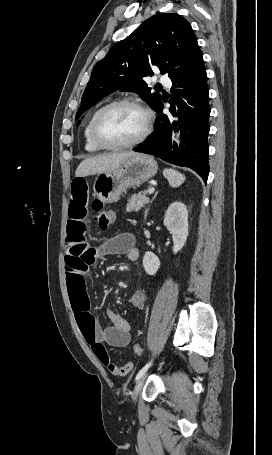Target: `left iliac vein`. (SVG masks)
<instances>
[{"label": "left iliac vein", "mask_w": 272, "mask_h": 455, "mask_svg": "<svg viewBox=\"0 0 272 455\" xmlns=\"http://www.w3.org/2000/svg\"><path fill=\"white\" fill-rule=\"evenodd\" d=\"M146 377H147V374H144L138 379V381L134 387L133 393H132L133 400L137 399Z\"/></svg>", "instance_id": "4c4485c4"}]
</instances>
